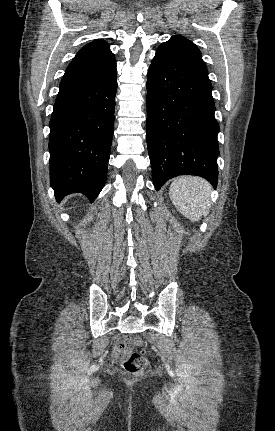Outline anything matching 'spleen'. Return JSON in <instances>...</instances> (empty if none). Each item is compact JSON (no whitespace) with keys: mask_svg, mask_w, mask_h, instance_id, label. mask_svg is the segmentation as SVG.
Masks as SVG:
<instances>
[{"mask_svg":"<svg viewBox=\"0 0 275 431\" xmlns=\"http://www.w3.org/2000/svg\"><path fill=\"white\" fill-rule=\"evenodd\" d=\"M211 189L209 182L201 177L181 176L171 183L169 196L181 214L196 222L210 211Z\"/></svg>","mask_w":275,"mask_h":431,"instance_id":"spleen-1","label":"spleen"}]
</instances>
